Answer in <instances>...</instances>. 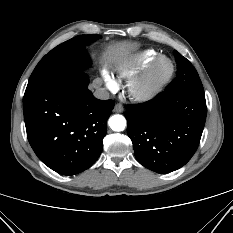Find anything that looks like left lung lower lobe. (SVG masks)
Returning a JSON list of instances; mask_svg holds the SVG:
<instances>
[{
	"instance_id": "0a47b994",
	"label": "left lung lower lobe",
	"mask_w": 233,
	"mask_h": 233,
	"mask_svg": "<svg viewBox=\"0 0 233 233\" xmlns=\"http://www.w3.org/2000/svg\"><path fill=\"white\" fill-rule=\"evenodd\" d=\"M126 109L127 133L135 157L144 167L169 173L194 155L207 114L204 94L164 91Z\"/></svg>"
}]
</instances>
